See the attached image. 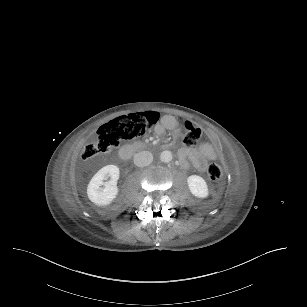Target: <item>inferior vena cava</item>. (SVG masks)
I'll return each mask as SVG.
<instances>
[{
	"instance_id": "1",
	"label": "inferior vena cava",
	"mask_w": 307,
	"mask_h": 307,
	"mask_svg": "<svg viewBox=\"0 0 307 307\" xmlns=\"http://www.w3.org/2000/svg\"><path fill=\"white\" fill-rule=\"evenodd\" d=\"M153 161V155L149 151H141L134 155V164L138 167L148 166Z\"/></svg>"
}]
</instances>
